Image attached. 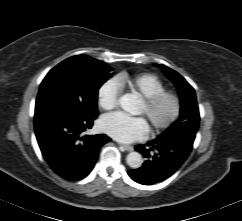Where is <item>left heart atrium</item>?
<instances>
[{
	"mask_svg": "<svg viewBox=\"0 0 242 221\" xmlns=\"http://www.w3.org/2000/svg\"><path fill=\"white\" fill-rule=\"evenodd\" d=\"M100 126L109 136L126 143L142 139L148 131L143 118L131 117L120 112L103 116Z\"/></svg>",
	"mask_w": 242,
	"mask_h": 221,
	"instance_id": "obj_1",
	"label": "left heart atrium"
}]
</instances>
